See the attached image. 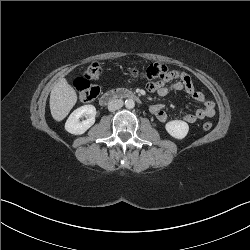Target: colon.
<instances>
[{"mask_svg":"<svg viewBox=\"0 0 250 250\" xmlns=\"http://www.w3.org/2000/svg\"><path fill=\"white\" fill-rule=\"evenodd\" d=\"M169 71V69L160 63L150 64L147 68L139 70L136 68L131 69V75L135 78H140L144 80H153L158 82L159 79L163 78L164 74ZM102 74V68L98 63H91L85 70L84 76L79 77L74 82V87L78 93L80 101L88 103L94 101L100 90L97 86L93 85L90 81L100 78ZM212 128V123L206 121L203 124V129L208 131Z\"/></svg>","mask_w":250,"mask_h":250,"instance_id":"obj_1","label":"colon"}]
</instances>
